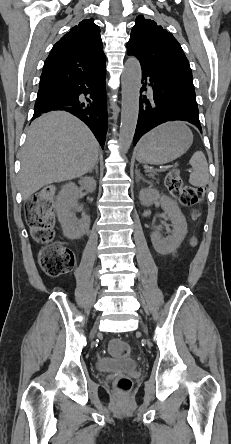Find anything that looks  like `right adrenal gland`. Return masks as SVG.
<instances>
[{"label": "right adrenal gland", "mask_w": 231, "mask_h": 444, "mask_svg": "<svg viewBox=\"0 0 231 444\" xmlns=\"http://www.w3.org/2000/svg\"><path fill=\"white\" fill-rule=\"evenodd\" d=\"M93 170L96 171V174L98 173V162H96L94 168L90 170V173H91Z\"/></svg>", "instance_id": "2a0ac1e0"}]
</instances>
